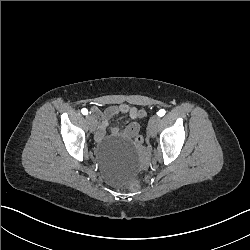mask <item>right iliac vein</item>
Instances as JSON below:
<instances>
[{
  "label": "right iliac vein",
  "mask_w": 250,
  "mask_h": 250,
  "mask_svg": "<svg viewBox=\"0 0 250 250\" xmlns=\"http://www.w3.org/2000/svg\"><path fill=\"white\" fill-rule=\"evenodd\" d=\"M86 120H87V123L89 125L90 130L94 131L95 127H96V124H97L95 118L92 117L91 115H87Z\"/></svg>",
  "instance_id": "right-iliac-vein-1"
}]
</instances>
